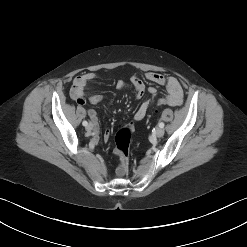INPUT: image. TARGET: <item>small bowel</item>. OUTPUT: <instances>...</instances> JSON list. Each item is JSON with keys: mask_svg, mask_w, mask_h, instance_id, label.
I'll return each instance as SVG.
<instances>
[{"mask_svg": "<svg viewBox=\"0 0 247 247\" xmlns=\"http://www.w3.org/2000/svg\"><path fill=\"white\" fill-rule=\"evenodd\" d=\"M145 77L148 81L165 86L168 92L167 99L169 100V105L171 106H178L181 105L183 102V90L182 86L179 83L178 79L169 76L166 77L160 73L156 72H148L145 74ZM96 78V75L94 73H85L83 75H79L74 78L71 88V97L75 99L78 103L84 104L86 101L85 96V89L88 83L93 81ZM117 89H125L128 87H131L133 89L134 95L136 98L140 99L145 95V92L147 91L152 95L150 99H147L141 103V105L137 108L134 114V119L136 121L142 120L148 110L150 109L152 103H153V97L156 95L157 90L155 87H146L145 83L138 78L137 76H132L130 78L129 83H126L123 80H118L116 82ZM103 99V96L101 94H93L89 97V101L92 104H97L101 102ZM88 114L93 122L96 123L97 121V112L94 109H90L88 111ZM110 138V131L106 130L103 134V140L108 141Z\"/></svg>", "mask_w": 247, "mask_h": 247, "instance_id": "c3829d8e", "label": "small bowel"}]
</instances>
